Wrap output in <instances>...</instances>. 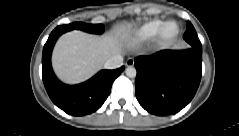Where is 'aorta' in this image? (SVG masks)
Returning <instances> with one entry per match:
<instances>
[{
	"label": "aorta",
	"mask_w": 239,
	"mask_h": 136,
	"mask_svg": "<svg viewBox=\"0 0 239 136\" xmlns=\"http://www.w3.org/2000/svg\"><path fill=\"white\" fill-rule=\"evenodd\" d=\"M125 73L128 77L130 78H134L136 77V74H137V71L135 69V67L133 66H128L126 69H125Z\"/></svg>",
	"instance_id": "1"
}]
</instances>
